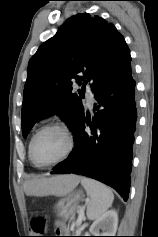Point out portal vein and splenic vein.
<instances>
[{"label":"portal vein and splenic vein","mask_w":158,"mask_h":237,"mask_svg":"<svg viewBox=\"0 0 158 237\" xmlns=\"http://www.w3.org/2000/svg\"><path fill=\"white\" fill-rule=\"evenodd\" d=\"M83 218H84V212H83V209L80 210L79 212V216H78V219H77V225L80 226L82 221H83Z\"/></svg>","instance_id":"18ae733b"}]
</instances>
